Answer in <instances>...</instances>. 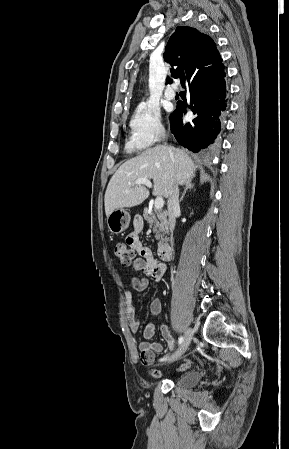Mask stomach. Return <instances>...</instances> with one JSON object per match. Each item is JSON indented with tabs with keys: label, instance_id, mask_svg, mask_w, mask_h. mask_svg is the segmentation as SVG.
<instances>
[{
	"label": "stomach",
	"instance_id": "obj_1",
	"mask_svg": "<svg viewBox=\"0 0 289 449\" xmlns=\"http://www.w3.org/2000/svg\"><path fill=\"white\" fill-rule=\"evenodd\" d=\"M130 219L126 210L116 209L107 217V226L113 234H119L128 228Z\"/></svg>",
	"mask_w": 289,
	"mask_h": 449
}]
</instances>
